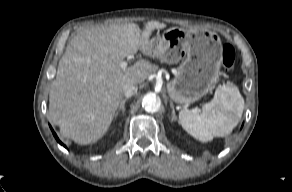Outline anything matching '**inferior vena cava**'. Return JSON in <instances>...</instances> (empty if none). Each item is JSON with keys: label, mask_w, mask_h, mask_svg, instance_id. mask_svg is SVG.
<instances>
[{"label": "inferior vena cava", "mask_w": 292, "mask_h": 192, "mask_svg": "<svg viewBox=\"0 0 292 192\" xmlns=\"http://www.w3.org/2000/svg\"><path fill=\"white\" fill-rule=\"evenodd\" d=\"M124 95L129 98L137 93L138 87L133 83H126L123 86Z\"/></svg>", "instance_id": "1"}]
</instances>
